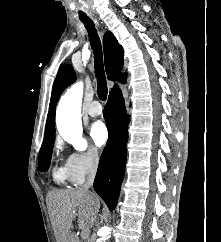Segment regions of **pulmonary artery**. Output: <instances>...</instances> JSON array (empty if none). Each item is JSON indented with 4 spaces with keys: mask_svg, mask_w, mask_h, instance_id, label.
<instances>
[{
    "mask_svg": "<svg viewBox=\"0 0 221 242\" xmlns=\"http://www.w3.org/2000/svg\"><path fill=\"white\" fill-rule=\"evenodd\" d=\"M87 113L91 116V117H97L99 115H101L102 113V107L99 104L98 101H93L88 109H87Z\"/></svg>",
    "mask_w": 221,
    "mask_h": 242,
    "instance_id": "e3ab8cb5",
    "label": "pulmonary artery"
}]
</instances>
